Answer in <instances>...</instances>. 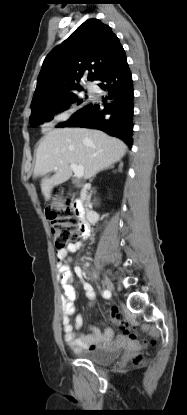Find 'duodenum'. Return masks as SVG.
I'll return each instance as SVG.
<instances>
[{
    "label": "duodenum",
    "mask_w": 187,
    "mask_h": 415,
    "mask_svg": "<svg viewBox=\"0 0 187 415\" xmlns=\"http://www.w3.org/2000/svg\"><path fill=\"white\" fill-rule=\"evenodd\" d=\"M82 197H86L88 188L82 186L80 189ZM72 208L77 216L80 217V230L84 237L89 235L91 223L95 220L96 215L92 210H88L83 198H77L72 202Z\"/></svg>",
    "instance_id": "duodenum-1"
}]
</instances>
